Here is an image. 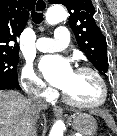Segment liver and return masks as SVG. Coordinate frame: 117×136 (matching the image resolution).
<instances>
[{
    "instance_id": "obj_1",
    "label": "liver",
    "mask_w": 117,
    "mask_h": 136,
    "mask_svg": "<svg viewBox=\"0 0 117 136\" xmlns=\"http://www.w3.org/2000/svg\"><path fill=\"white\" fill-rule=\"evenodd\" d=\"M38 113L21 93L0 91V136H28Z\"/></svg>"
}]
</instances>
